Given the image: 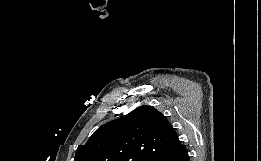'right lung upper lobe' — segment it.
I'll use <instances>...</instances> for the list:
<instances>
[{"label": "right lung upper lobe", "instance_id": "obj_1", "mask_svg": "<svg viewBox=\"0 0 261 161\" xmlns=\"http://www.w3.org/2000/svg\"><path fill=\"white\" fill-rule=\"evenodd\" d=\"M182 146L161 112L141 106L98 128L74 161H151Z\"/></svg>", "mask_w": 261, "mask_h": 161}]
</instances>
